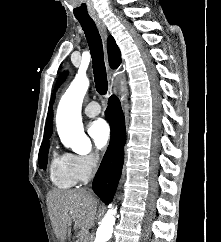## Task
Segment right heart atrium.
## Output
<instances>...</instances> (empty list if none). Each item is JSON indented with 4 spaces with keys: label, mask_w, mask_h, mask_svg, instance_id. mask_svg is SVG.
<instances>
[{
    "label": "right heart atrium",
    "mask_w": 221,
    "mask_h": 242,
    "mask_svg": "<svg viewBox=\"0 0 221 242\" xmlns=\"http://www.w3.org/2000/svg\"><path fill=\"white\" fill-rule=\"evenodd\" d=\"M73 174L77 181H82L95 173L99 166V156L96 152L85 154H69Z\"/></svg>",
    "instance_id": "obj_1"
}]
</instances>
